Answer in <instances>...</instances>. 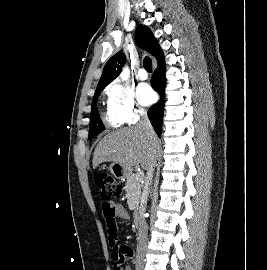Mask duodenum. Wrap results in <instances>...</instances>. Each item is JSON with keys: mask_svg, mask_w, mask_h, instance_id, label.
I'll return each mask as SVG.
<instances>
[{"mask_svg": "<svg viewBox=\"0 0 267 270\" xmlns=\"http://www.w3.org/2000/svg\"><path fill=\"white\" fill-rule=\"evenodd\" d=\"M141 222H142V212L140 210H138L136 212V215H135V224H136V226L139 227Z\"/></svg>", "mask_w": 267, "mask_h": 270, "instance_id": "obj_1", "label": "duodenum"}]
</instances>
